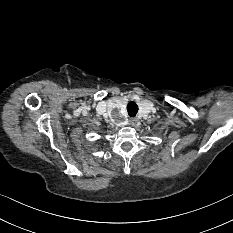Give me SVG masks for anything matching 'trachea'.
<instances>
[{
	"label": "trachea",
	"instance_id": "3493384b",
	"mask_svg": "<svg viewBox=\"0 0 233 233\" xmlns=\"http://www.w3.org/2000/svg\"><path fill=\"white\" fill-rule=\"evenodd\" d=\"M127 111L129 116H135L138 112V106L135 102L131 101L128 105H127Z\"/></svg>",
	"mask_w": 233,
	"mask_h": 233
}]
</instances>
